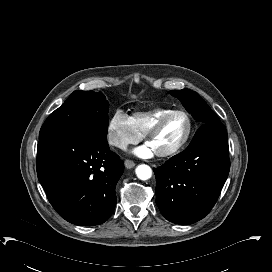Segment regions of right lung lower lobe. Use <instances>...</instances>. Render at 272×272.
I'll use <instances>...</instances> for the list:
<instances>
[{"mask_svg": "<svg viewBox=\"0 0 272 272\" xmlns=\"http://www.w3.org/2000/svg\"><path fill=\"white\" fill-rule=\"evenodd\" d=\"M36 167L51 205L68 222L93 226L111 216L124 164L106 136L74 130L43 137Z\"/></svg>", "mask_w": 272, "mask_h": 272, "instance_id": "obj_1", "label": "right lung lower lobe"}]
</instances>
